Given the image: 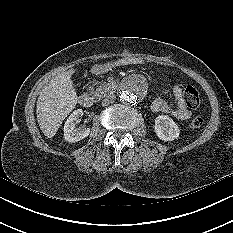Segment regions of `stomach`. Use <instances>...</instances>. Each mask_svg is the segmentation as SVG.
<instances>
[{
  "label": "stomach",
  "mask_w": 233,
  "mask_h": 233,
  "mask_svg": "<svg viewBox=\"0 0 233 233\" xmlns=\"http://www.w3.org/2000/svg\"><path fill=\"white\" fill-rule=\"evenodd\" d=\"M138 63H141L140 60L137 58H124L121 60H117L114 62H108L107 65H98L93 67L92 71L95 74H101L106 72L108 69H115L123 66H128V65H137Z\"/></svg>",
  "instance_id": "1"
}]
</instances>
